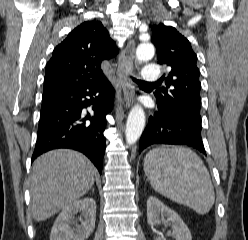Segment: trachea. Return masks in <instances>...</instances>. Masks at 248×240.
I'll list each match as a JSON object with an SVG mask.
<instances>
[{"label":"trachea","instance_id":"trachea-1","mask_svg":"<svg viewBox=\"0 0 248 240\" xmlns=\"http://www.w3.org/2000/svg\"><path fill=\"white\" fill-rule=\"evenodd\" d=\"M133 80L139 84H153V83H148V82H144V81H141V80H137L136 78H133Z\"/></svg>","mask_w":248,"mask_h":240}]
</instances>
